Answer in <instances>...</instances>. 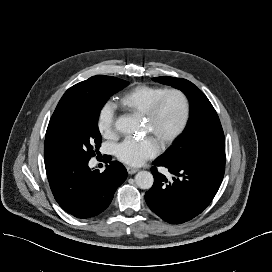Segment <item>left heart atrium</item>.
Masks as SVG:
<instances>
[{"mask_svg":"<svg viewBox=\"0 0 272 272\" xmlns=\"http://www.w3.org/2000/svg\"><path fill=\"white\" fill-rule=\"evenodd\" d=\"M157 153V145L148 139L127 138L115 147L116 157L121 162L135 167L155 157Z\"/></svg>","mask_w":272,"mask_h":272,"instance_id":"left-heart-atrium-1","label":"left heart atrium"}]
</instances>
